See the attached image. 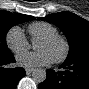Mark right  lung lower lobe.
I'll return each mask as SVG.
<instances>
[{"label":"right lung lower lobe","instance_id":"1","mask_svg":"<svg viewBox=\"0 0 89 89\" xmlns=\"http://www.w3.org/2000/svg\"><path fill=\"white\" fill-rule=\"evenodd\" d=\"M11 62H15L11 52L0 56V89H15L19 80L26 74L23 68L7 69L3 67Z\"/></svg>","mask_w":89,"mask_h":89}]
</instances>
